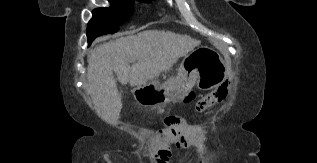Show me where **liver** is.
<instances>
[{"instance_id":"obj_1","label":"liver","mask_w":317,"mask_h":163,"mask_svg":"<svg viewBox=\"0 0 317 163\" xmlns=\"http://www.w3.org/2000/svg\"><path fill=\"white\" fill-rule=\"evenodd\" d=\"M200 44L188 35L145 30L96 46L87 58V79L98 116L110 125L119 120L122 102L114 73L122 84L141 88Z\"/></svg>"}]
</instances>
